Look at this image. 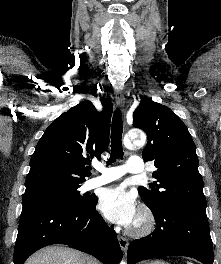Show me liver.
Returning <instances> with one entry per match:
<instances>
[{
    "instance_id": "liver-1",
    "label": "liver",
    "mask_w": 221,
    "mask_h": 264,
    "mask_svg": "<svg viewBox=\"0 0 221 264\" xmlns=\"http://www.w3.org/2000/svg\"><path fill=\"white\" fill-rule=\"evenodd\" d=\"M25 264H100L90 255L61 246L43 248L27 259Z\"/></svg>"
}]
</instances>
